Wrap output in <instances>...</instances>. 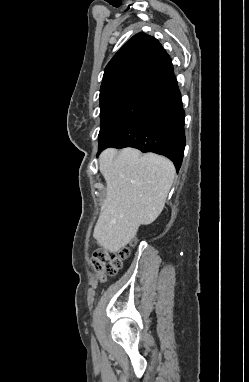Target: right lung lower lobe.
I'll list each match as a JSON object with an SVG mask.
<instances>
[{
	"label": "right lung lower lobe",
	"instance_id": "right-lung-lower-lobe-1",
	"mask_svg": "<svg viewBox=\"0 0 249 382\" xmlns=\"http://www.w3.org/2000/svg\"><path fill=\"white\" fill-rule=\"evenodd\" d=\"M184 110L177 83L152 101L120 134L99 147H133L172 160L179 171L185 148Z\"/></svg>",
	"mask_w": 249,
	"mask_h": 382
}]
</instances>
